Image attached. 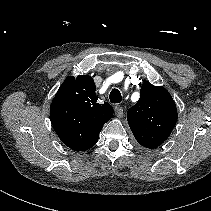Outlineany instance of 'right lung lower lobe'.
I'll use <instances>...</instances> for the list:
<instances>
[{
	"label": "right lung lower lobe",
	"mask_w": 211,
	"mask_h": 211,
	"mask_svg": "<svg viewBox=\"0 0 211 211\" xmlns=\"http://www.w3.org/2000/svg\"><path fill=\"white\" fill-rule=\"evenodd\" d=\"M71 107L72 104L61 98H54L50 108V116L54 129L70 127L71 122ZM99 136V135H98ZM98 136L93 138L91 142L83 150H87L94 146L98 141Z\"/></svg>",
	"instance_id": "98d812e1"
}]
</instances>
